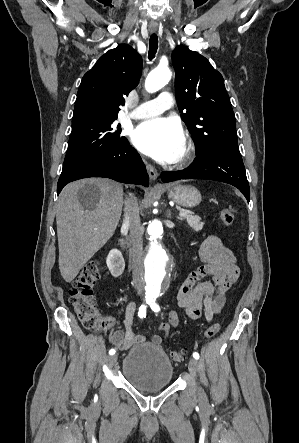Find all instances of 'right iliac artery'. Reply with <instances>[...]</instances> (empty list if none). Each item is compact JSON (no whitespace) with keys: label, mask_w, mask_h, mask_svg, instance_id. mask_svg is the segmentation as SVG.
Instances as JSON below:
<instances>
[{"label":"right iliac artery","mask_w":299,"mask_h":443,"mask_svg":"<svg viewBox=\"0 0 299 443\" xmlns=\"http://www.w3.org/2000/svg\"><path fill=\"white\" fill-rule=\"evenodd\" d=\"M146 304H149V301L146 300L145 304H142V305L140 306V308H139L138 316H139L140 318H145V317H146V307H147ZM115 352H116L115 349H110V350H109V354H110V355H114Z\"/></svg>","instance_id":"right-iliac-artery-1"}]
</instances>
